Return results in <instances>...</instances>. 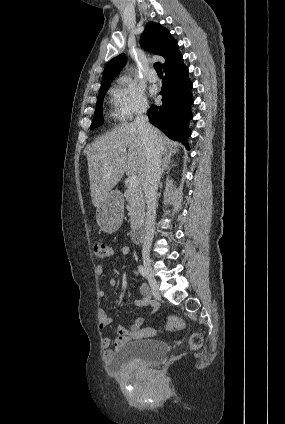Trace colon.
<instances>
[{
  "mask_svg": "<svg viewBox=\"0 0 285 424\" xmlns=\"http://www.w3.org/2000/svg\"><path fill=\"white\" fill-rule=\"evenodd\" d=\"M92 251L96 258L108 259L113 255V248L106 242L101 240H95L92 244ZM184 327L183 320L177 315H171L166 321L165 328L168 331H178ZM157 333L156 329L149 328L144 329L141 333L142 339L154 336ZM203 338L200 333H194L190 337V347L197 349L202 345Z\"/></svg>",
  "mask_w": 285,
  "mask_h": 424,
  "instance_id": "1",
  "label": "colon"
}]
</instances>
